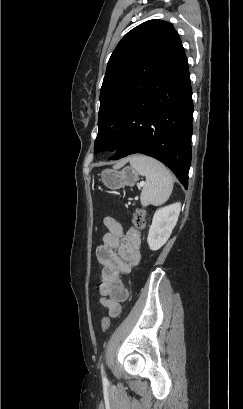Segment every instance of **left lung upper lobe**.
I'll return each mask as SVG.
<instances>
[{"mask_svg":"<svg viewBox=\"0 0 243 409\" xmlns=\"http://www.w3.org/2000/svg\"><path fill=\"white\" fill-rule=\"evenodd\" d=\"M181 44L171 23L146 21L118 43L100 92L98 136L94 150H115L129 117L151 79Z\"/></svg>","mask_w":243,"mask_h":409,"instance_id":"obj_1","label":"left lung upper lobe"}]
</instances>
